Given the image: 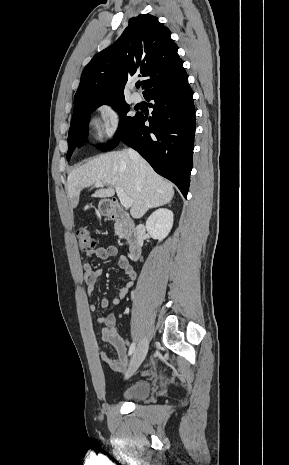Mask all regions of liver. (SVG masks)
Instances as JSON below:
<instances>
[{"instance_id":"obj_1","label":"liver","mask_w":289,"mask_h":465,"mask_svg":"<svg viewBox=\"0 0 289 465\" xmlns=\"http://www.w3.org/2000/svg\"><path fill=\"white\" fill-rule=\"evenodd\" d=\"M96 182H102L107 188L96 190L93 197H112L116 187L122 189L132 199L130 213L133 218H140L148 209L169 203L174 196L170 182L160 177L143 159L142 164L135 167L128 151L100 155L71 171L67 178L71 208L77 207L80 192Z\"/></svg>"}]
</instances>
